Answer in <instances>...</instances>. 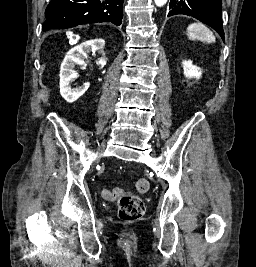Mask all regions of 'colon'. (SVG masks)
Returning <instances> with one entry per match:
<instances>
[{
    "label": "colon",
    "instance_id": "obj_1",
    "mask_svg": "<svg viewBox=\"0 0 256 267\" xmlns=\"http://www.w3.org/2000/svg\"><path fill=\"white\" fill-rule=\"evenodd\" d=\"M135 187L139 192H147L150 189V182L147 179L141 178L135 182ZM122 191L125 189L122 188H112L109 192H102V195H109L112 200H116L119 196L113 195H122ZM133 193L127 197H120L122 200L115 201L118 206V216L123 221H135L141 218L145 212L146 206L144 202L139 197Z\"/></svg>",
    "mask_w": 256,
    "mask_h": 267
}]
</instances>
